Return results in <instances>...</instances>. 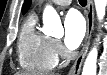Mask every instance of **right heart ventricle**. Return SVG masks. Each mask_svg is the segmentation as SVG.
I'll list each match as a JSON object with an SVG mask.
<instances>
[{
    "label": "right heart ventricle",
    "instance_id": "1",
    "mask_svg": "<svg viewBox=\"0 0 107 75\" xmlns=\"http://www.w3.org/2000/svg\"><path fill=\"white\" fill-rule=\"evenodd\" d=\"M18 58L20 66L31 72H48L57 64L52 39L38 30L36 15H30L22 26Z\"/></svg>",
    "mask_w": 107,
    "mask_h": 75
}]
</instances>
